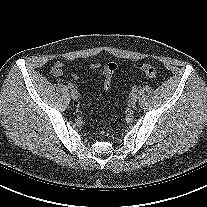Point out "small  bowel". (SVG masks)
<instances>
[{
	"instance_id": "c3829d8e",
	"label": "small bowel",
	"mask_w": 207,
	"mask_h": 207,
	"mask_svg": "<svg viewBox=\"0 0 207 207\" xmlns=\"http://www.w3.org/2000/svg\"><path fill=\"white\" fill-rule=\"evenodd\" d=\"M90 68L94 70H98V69L101 70L102 84L100 88L104 91L109 90L112 85L114 74L118 68L117 64L115 62H108L105 64L92 63L90 64ZM63 72H64V63L61 61L56 62L52 68V74L56 77H60L63 75ZM72 78L75 81H77L79 80L80 76L77 73H74L72 74Z\"/></svg>"
}]
</instances>
